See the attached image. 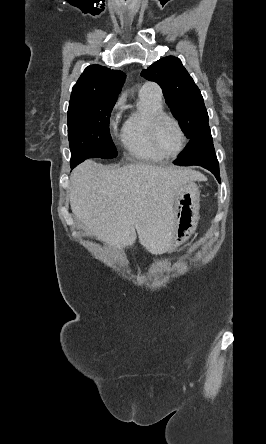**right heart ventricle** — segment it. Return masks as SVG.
Segmentation results:
<instances>
[{
    "mask_svg": "<svg viewBox=\"0 0 266 444\" xmlns=\"http://www.w3.org/2000/svg\"><path fill=\"white\" fill-rule=\"evenodd\" d=\"M163 112L160 98L139 93L136 108L127 117L121 135V142L127 153L141 161H162L165 156L159 154L152 146L149 136L151 118Z\"/></svg>",
    "mask_w": 266,
    "mask_h": 444,
    "instance_id": "right-heart-ventricle-1",
    "label": "right heart ventricle"
}]
</instances>
